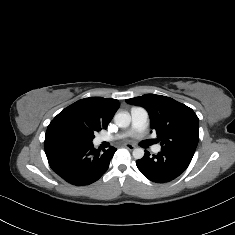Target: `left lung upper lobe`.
Returning <instances> with one entry per match:
<instances>
[{
	"label": "left lung upper lobe",
	"instance_id": "5c2ea615",
	"mask_svg": "<svg viewBox=\"0 0 235 235\" xmlns=\"http://www.w3.org/2000/svg\"><path fill=\"white\" fill-rule=\"evenodd\" d=\"M126 102L147 109L161 149L193 157L199 141V119L191 108L155 94L126 99Z\"/></svg>",
	"mask_w": 235,
	"mask_h": 235
}]
</instances>
